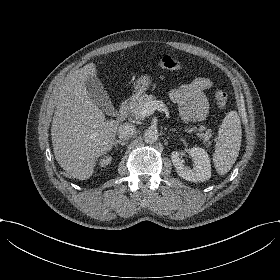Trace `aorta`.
<instances>
[{
    "mask_svg": "<svg viewBox=\"0 0 280 280\" xmlns=\"http://www.w3.org/2000/svg\"><path fill=\"white\" fill-rule=\"evenodd\" d=\"M159 134L156 129L148 128L144 132V141L149 144H153L158 140Z\"/></svg>",
    "mask_w": 280,
    "mask_h": 280,
    "instance_id": "obj_1",
    "label": "aorta"
}]
</instances>
